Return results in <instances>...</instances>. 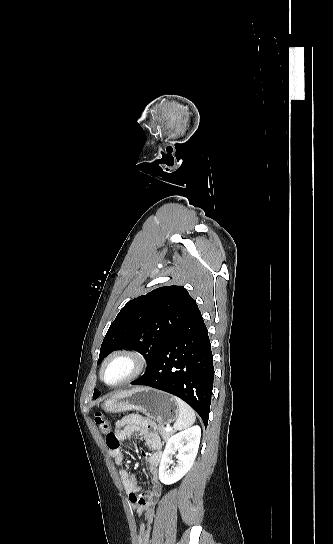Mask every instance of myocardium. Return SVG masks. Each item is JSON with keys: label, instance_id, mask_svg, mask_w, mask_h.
I'll use <instances>...</instances> for the list:
<instances>
[{"label": "myocardium", "instance_id": "obj_1", "mask_svg": "<svg viewBox=\"0 0 333 544\" xmlns=\"http://www.w3.org/2000/svg\"><path fill=\"white\" fill-rule=\"evenodd\" d=\"M117 358H127V359H129L133 364V368H132L131 372L125 378H123L122 380H120L117 383L110 384V383H107L105 381V379H104V370H105L106 366L111 361H113L114 359H117ZM146 368H147V361H146V358L142 354H140L139 352L134 351V350L120 349V350H117V351L111 353L103 361V363H102V365L100 367L99 377H100V380L105 385H107V386H109L111 388H117V387L124 386V385L136 380L137 378H139L145 372Z\"/></svg>", "mask_w": 333, "mask_h": 544}]
</instances>
